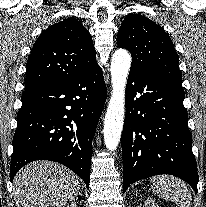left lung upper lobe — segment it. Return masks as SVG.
I'll return each mask as SVG.
<instances>
[{"instance_id": "obj_1", "label": "left lung upper lobe", "mask_w": 206, "mask_h": 207, "mask_svg": "<svg viewBox=\"0 0 206 207\" xmlns=\"http://www.w3.org/2000/svg\"><path fill=\"white\" fill-rule=\"evenodd\" d=\"M117 44L130 51L131 70L182 83L173 42L150 19L140 14L127 15L119 29Z\"/></svg>"}]
</instances>
